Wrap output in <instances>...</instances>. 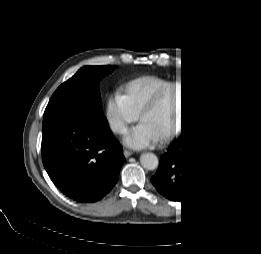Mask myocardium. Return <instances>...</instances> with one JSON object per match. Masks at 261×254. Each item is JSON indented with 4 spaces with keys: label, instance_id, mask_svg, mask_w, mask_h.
Returning a JSON list of instances; mask_svg holds the SVG:
<instances>
[{
    "label": "myocardium",
    "instance_id": "obj_1",
    "mask_svg": "<svg viewBox=\"0 0 261 254\" xmlns=\"http://www.w3.org/2000/svg\"><path fill=\"white\" fill-rule=\"evenodd\" d=\"M175 86H169L165 88L163 91H161L159 94H157L140 112V119L143 120V118L152 110H154L160 101V99L167 95L168 92L175 89ZM182 91L184 92L186 102H185V108L184 112L180 118V121L176 125V127L169 133L159 136L160 141H168L177 136V134L181 133V131L184 129L191 111H192V104H193V97L190 89L188 87L180 86Z\"/></svg>",
    "mask_w": 261,
    "mask_h": 254
}]
</instances>
